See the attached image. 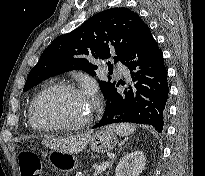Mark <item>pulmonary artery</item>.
<instances>
[{
    "instance_id": "obj_1",
    "label": "pulmonary artery",
    "mask_w": 205,
    "mask_h": 176,
    "mask_svg": "<svg viewBox=\"0 0 205 176\" xmlns=\"http://www.w3.org/2000/svg\"><path fill=\"white\" fill-rule=\"evenodd\" d=\"M115 68H116V71L118 72V74H120V75H127L128 74V69L123 65L118 64L115 66Z\"/></svg>"
}]
</instances>
